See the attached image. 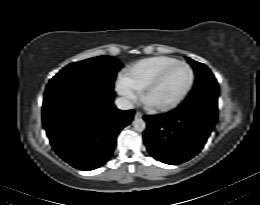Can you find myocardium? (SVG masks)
I'll use <instances>...</instances> for the list:
<instances>
[{"mask_svg": "<svg viewBox=\"0 0 260 205\" xmlns=\"http://www.w3.org/2000/svg\"><path fill=\"white\" fill-rule=\"evenodd\" d=\"M177 65H183L186 68H188L189 72H190V81L187 85V87L185 88V90L181 93V95L176 98L175 100H173L170 103L167 104H160V105H154L148 102V94L149 92L163 79V77L165 76V74L174 66ZM195 83V72L194 69L191 67L190 64H188L185 61H176L174 63H171L169 65H167L166 67H164L163 69H161L148 83L147 85L144 87L143 89V93H142V100L148 104L149 106H151L152 108H154L157 111H170L173 110L175 108H177L185 99L186 97L189 95L190 91L193 88V85Z\"/></svg>", "mask_w": 260, "mask_h": 205, "instance_id": "f54148a6", "label": "myocardium"}]
</instances>
